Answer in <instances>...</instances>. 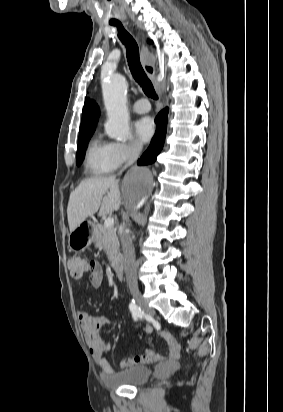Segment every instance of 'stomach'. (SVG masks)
<instances>
[{"label":"stomach","instance_id":"obj_1","mask_svg":"<svg viewBox=\"0 0 283 412\" xmlns=\"http://www.w3.org/2000/svg\"><path fill=\"white\" fill-rule=\"evenodd\" d=\"M93 231L94 224L91 221H83L69 234V247L74 251L86 249L94 240Z\"/></svg>","mask_w":283,"mask_h":412}]
</instances>
